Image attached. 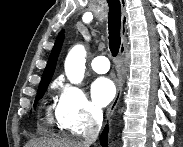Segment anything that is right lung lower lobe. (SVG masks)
Returning a JSON list of instances; mask_svg holds the SVG:
<instances>
[{
	"mask_svg": "<svg viewBox=\"0 0 183 147\" xmlns=\"http://www.w3.org/2000/svg\"><path fill=\"white\" fill-rule=\"evenodd\" d=\"M107 133H108V128L106 127L102 132L101 138H100V143L103 147L107 146Z\"/></svg>",
	"mask_w": 183,
	"mask_h": 147,
	"instance_id": "1",
	"label": "right lung lower lobe"
}]
</instances>
